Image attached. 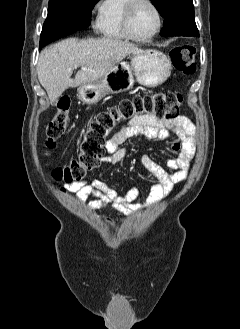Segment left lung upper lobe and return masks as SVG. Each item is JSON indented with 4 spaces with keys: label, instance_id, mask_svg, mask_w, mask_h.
I'll use <instances>...</instances> for the list:
<instances>
[{
    "label": "left lung upper lobe",
    "instance_id": "obj_1",
    "mask_svg": "<svg viewBox=\"0 0 240 329\" xmlns=\"http://www.w3.org/2000/svg\"><path fill=\"white\" fill-rule=\"evenodd\" d=\"M151 1L161 16L164 17L161 36H199L192 0Z\"/></svg>",
    "mask_w": 240,
    "mask_h": 329
}]
</instances>
